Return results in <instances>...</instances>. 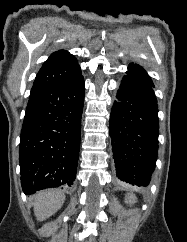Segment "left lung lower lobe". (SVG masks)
I'll use <instances>...</instances> for the list:
<instances>
[{
  "mask_svg": "<svg viewBox=\"0 0 187 242\" xmlns=\"http://www.w3.org/2000/svg\"><path fill=\"white\" fill-rule=\"evenodd\" d=\"M152 85L125 75L110 115V137L119 180L146 187L158 151V105Z\"/></svg>",
  "mask_w": 187,
  "mask_h": 242,
  "instance_id": "0a47b994",
  "label": "left lung lower lobe"
}]
</instances>
